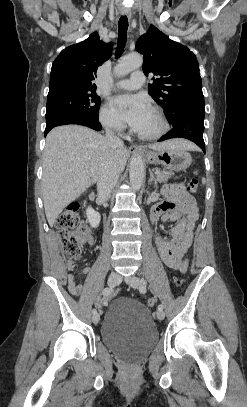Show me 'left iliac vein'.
Instances as JSON below:
<instances>
[{
	"label": "left iliac vein",
	"mask_w": 247,
	"mask_h": 407,
	"mask_svg": "<svg viewBox=\"0 0 247 407\" xmlns=\"http://www.w3.org/2000/svg\"><path fill=\"white\" fill-rule=\"evenodd\" d=\"M125 281L133 288L137 289L140 285V279L136 275L129 276L125 279ZM157 318L159 320H163L165 318V313L163 310H158L157 313Z\"/></svg>",
	"instance_id": "4c4485c4"
}]
</instances>
